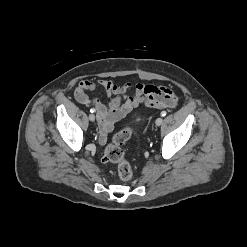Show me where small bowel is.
I'll use <instances>...</instances> for the list:
<instances>
[{
  "mask_svg": "<svg viewBox=\"0 0 247 247\" xmlns=\"http://www.w3.org/2000/svg\"><path fill=\"white\" fill-rule=\"evenodd\" d=\"M102 87L107 104L89 97L88 92ZM75 99L86 106H91L97 112L99 123V140L102 144L107 141L114 124L125 117L139 104L155 109L174 108L178 98L174 91L166 86L138 82L117 85L113 80L80 81L75 89Z\"/></svg>",
  "mask_w": 247,
  "mask_h": 247,
  "instance_id": "c3829d8e",
  "label": "small bowel"
}]
</instances>
